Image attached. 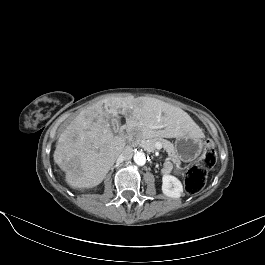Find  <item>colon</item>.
Instances as JSON below:
<instances>
[{
  "mask_svg": "<svg viewBox=\"0 0 265 265\" xmlns=\"http://www.w3.org/2000/svg\"><path fill=\"white\" fill-rule=\"evenodd\" d=\"M217 161L216 151L212 142L206 143L205 151L198 163L191 166L185 174V187L188 193L198 194L205 186L208 171Z\"/></svg>",
  "mask_w": 265,
  "mask_h": 265,
  "instance_id": "5ec220e1",
  "label": "colon"
}]
</instances>
